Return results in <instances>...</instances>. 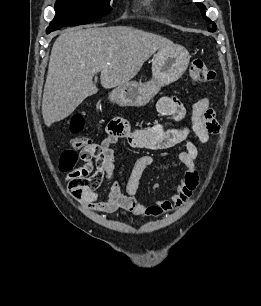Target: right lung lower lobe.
Wrapping results in <instances>:
<instances>
[{"label":"right lung lower lobe","instance_id":"obj_1","mask_svg":"<svg viewBox=\"0 0 261 306\" xmlns=\"http://www.w3.org/2000/svg\"><path fill=\"white\" fill-rule=\"evenodd\" d=\"M60 27H51V26H49L48 28H47V30H46V33L47 34H49V33H51L52 31H55V30H57V29H59Z\"/></svg>","mask_w":261,"mask_h":306}]
</instances>
